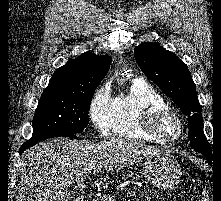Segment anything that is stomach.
<instances>
[{"instance_id": "0dacf381", "label": "stomach", "mask_w": 221, "mask_h": 201, "mask_svg": "<svg viewBox=\"0 0 221 201\" xmlns=\"http://www.w3.org/2000/svg\"><path fill=\"white\" fill-rule=\"evenodd\" d=\"M143 172L148 181L162 190L174 188L181 176L180 165L168 150L146 156Z\"/></svg>"}]
</instances>
